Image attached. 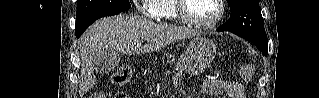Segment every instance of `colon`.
<instances>
[{"mask_svg": "<svg viewBox=\"0 0 319 98\" xmlns=\"http://www.w3.org/2000/svg\"><path fill=\"white\" fill-rule=\"evenodd\" d=\"M130 79V69L127 66H122L116 70L112 76L113 83L117 85H123L127 83ZM90 98H105V95L102 92H94L90 95ZM115 98H129L127 93L121 92L118 93Z\"/></svg>", "mask_w": 319, "mask_h": 98, "instance_id": "colon-1", "label": "colon"}]
</instances>
